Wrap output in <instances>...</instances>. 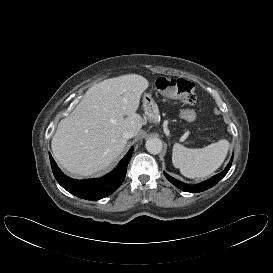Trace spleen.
<instances>
[{
  "mask_svg": "<svg viewBox=\"0 0 273 273\" xmlns=\"http://www.w3.org/2000/svg\"><path fill=\"white\" fill-rule=\"evenodd\" d=\"M229 141L221 139L204 148H186L179 143L173 146L172 163L187 178H205L213 174L224 162Z\"/></svg>",
  "mask_w": 273,
  "mask_h": 273,
  "instance_id": "3e777b00",
  "label": "spleen"
}]
</instances>
